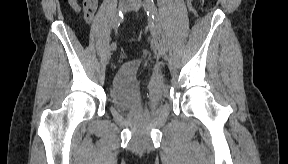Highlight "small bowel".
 <instances>
[{
    "label": "small bowel",
    "instance_id": "obj_1",
    "mask_svg": "<svg viewBox=\"0 0 288 164\" xmlns=\"http://www.w3.org/2000/svg\"><path fill=\"white\" fill-rule=\"evenodd\" d=\"M76 12L80 11L79 6L74 9ZM97 10V1L96 0H85L83 3V13L84 19L87 23L92 22L95 12Z\"/></svg>",
    "mask_w": 288,
    "mask_h": 164
}]
</instances>
